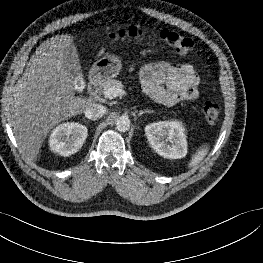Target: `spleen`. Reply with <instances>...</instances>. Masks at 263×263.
<instances>
[{"label": "spleen", "mask_w": 263, "mask_h": 263, "mask_svg": "<svg viewBox=\"0 0 263 263\" xmlns=\"http://www.w3.org/2000/svg\"><path fill=\"white\" fill-rule=\"evenodd\" d=\"M208 147L202 146L200 147L197 152L192 156L190 163L188 164L189 168H193L197 166L207 155L208 153Z\"/></svg>", "instance_id": "1"}]
</instances>
